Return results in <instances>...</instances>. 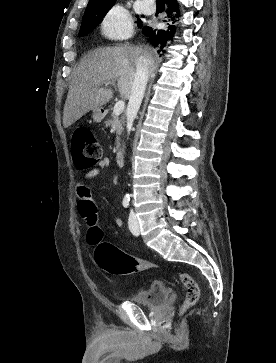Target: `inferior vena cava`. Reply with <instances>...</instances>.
Instances as JSON below:
<instances>
[{
	"label": "inferior vena cava",
	"mask_w": 276,
	"mask_h": 363,
	"mask_svg": "<svg viewBox=\"0 0 276 363\" xmlns=\"http://www.w3.org/2000/svg\"><path fill=\"white\" fill-rule=\"evenodd\" d=\"M149 71L147 61L143 58H139L136 65V73L131 88L129 97V103L127 106V130L130 133L133 121L138 113L146 85L148 82Z\"/></svg>",
	"instance_id": "602c4592"
}]
</instances>
